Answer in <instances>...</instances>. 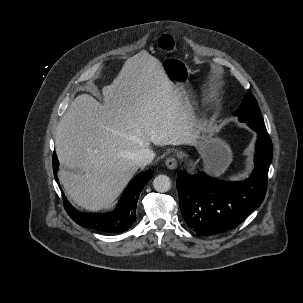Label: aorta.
<instances>
[{
    "mask_svg": "<svg viewBox=\"0 0 303 303\" xmlns=\"http://www.w3.org/2000/svg\"><path fill=\"white\" fill-rule=\"evenodd\" d=\"M153 186L157 192H167L171 187L170 178L167 175H158L153 180Z\"/></svg>",
    "mask_w": 303,
    "mask_h": 303,
    "instance_id": "762f6f07",
    "label": "aorta"
}]
</instances>
